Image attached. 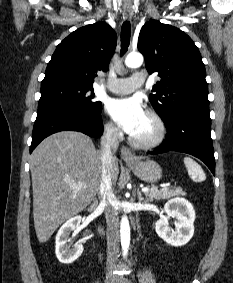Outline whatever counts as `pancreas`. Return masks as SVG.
<instances>
[{
  "label": "pancreas",
  "instance_id": "1",
  "mask_svg": "<svg viewBox=\"0 0 233 283\" xmlns=\"http://www.w3.org/2000/svg\"><path fill=\"white\" fill-rule=\"evenodd\" d=\"M149 198V201H153L154 199H169L175 196H185L186 193L182 190V188H176L175 190H158L157 187L152 186L148 192L145 193Z\"/></svg>",
  "mask_w": 233,
  "mask_h": 283
}]
</instances>
